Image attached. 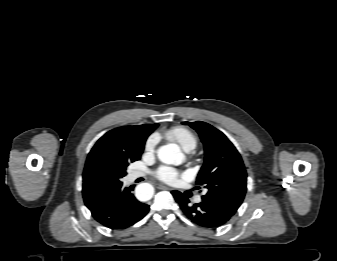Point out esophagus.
I'll list each match as a JSON object with an SVG mask.
<instances>
[{
    "mask_svg": "<svg viewBox=\"0 0 337 261\" xmlns=\"http://www.w3.org/2000/svg\"><path fill=\"white\" fill-rule=\"evenodd\" d=\"M156 186L158 189H162V190L170 189L169 187L162 185V184H157Z\"/></svg>",
    "mask_w": 337,
    "mask_h": 261,
    "instance_id": "esophagus-1",
    "label": "esophagus"
}]
</instances>
